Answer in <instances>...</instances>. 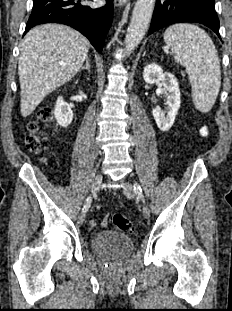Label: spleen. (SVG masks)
<instances>
[{"label":"spleen","mask_w":232,"mask_h":311,"mask_svg":"<svg viewBox=\"0 0 232 311\" xmlns=\"http://www.w3.org/2000/svg\"><path fill=\"white\" fill-rule=\"evenodd\" d=\"M174 59L186 68L196 109L209 112L221 86L220 61L208 34L196 25L175 24L164 32Z\"/></svg>","instance_id":"obj_1"}]
</instances>
